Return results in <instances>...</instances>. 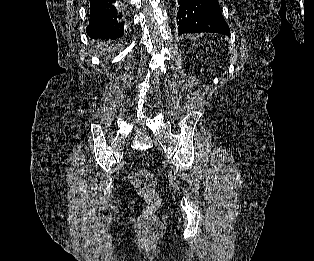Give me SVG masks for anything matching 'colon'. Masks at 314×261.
<instances>
[{
	"label": "colon",
	"instance_id": "obj_1",
	"mask_svg": "<svg viewBox=\"0 0 314 261\" xmlns=\"http://www.w3.org/2000/svg\"><path fill=\"white\" fill-rule=\"evenodd\" d=\"M128 179L135 187L137 193L147 202V206L140 216L142 227L158 232L161 229V225L155 215V211L160 206L161 199L155 192L156 179L153 173L147 170H135L128 175Z\"/></svg>",
	"mask_w": 314,
	"mask_h": 261
}]
</instances>
